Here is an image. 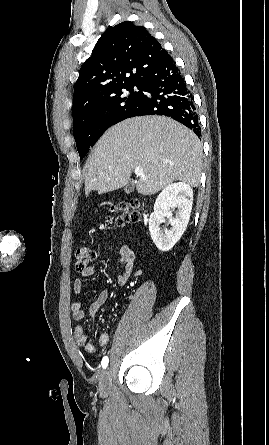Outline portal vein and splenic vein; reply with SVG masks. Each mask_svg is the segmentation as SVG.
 I'll list each match as a JSON object with an SVG mask.
<instances>
[{
  "instance_id": "1",
  "label": "portal vein and splenic vein",
  "mask_w": 269,
  "mask_h": 445,
  "mask_svg": "<svg viewBox=\"0 0 269 445\" xmlns=\"http://www.w3.org/2000/svg\"><path fill=\"white\" fill-rule=\"evenodd\" d=\"M134 173H135L137 176H143V174H144V170H143V168H141V167H136V168L134 169Z\"/></svg>"
}]
</instances>
